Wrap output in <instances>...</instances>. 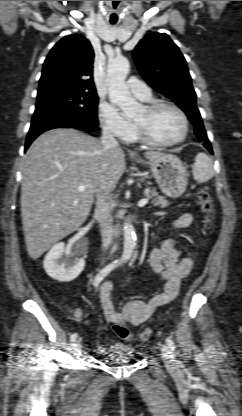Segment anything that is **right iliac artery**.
<instances>
[{
    "label": "right iliac artery",
    "mask_w": 242,
    "mask_h": 416,
    "mask_svg": "<svg viewBox=\"0 0 242 416\" xmlns=\"http://www.w3.org/2000/svg\"><path fill=\"white\" fill-rule=\"evenodd\" d=\"M117 266L116 263H111L109 265H107L106 267H104L95 277L94 279V286L97 287L99 285V283L103 280V278L105 276H107L115 267ZM78 337L77 333H73L70 336V341L74 342Z\"/></svg>",
    "instance_id": "1"
}]
</instances>
